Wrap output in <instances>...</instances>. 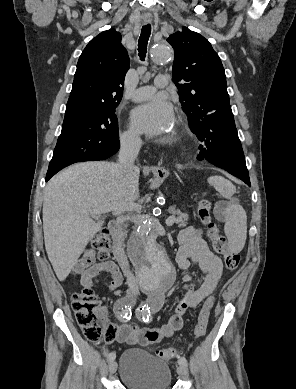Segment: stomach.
<instances>
[{
  "label": "stomach",
  "mask_w": 296,
  "mask_h": 389,
  "mask_svg": "<svg viewBox=\"0 0 296 389\" xmlns=\"http://www.w3.org/2000/svg\"><path fill=\"white\" fill-rule=\"evenodd\" d=\"M168 171L165 168H155L152 172L154 186H164L167 183Z\"/></svg>",
  "instance_id": "1"
}]
</instances>
